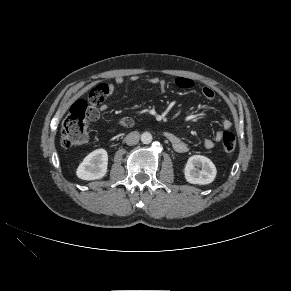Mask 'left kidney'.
Returning a JSON list of instances; mask_svg holds the SVG:
<instances>
[{
  "mask_svg": "<svg viewBox=\"0 0 291 291\" xmlns=\"http://www.w3.org/2000/svg\"><path fill=\"white\" fill-rule=\"evenodd\" d=\"M199 167L202 169L199 170ZM216 173L217 170L214 163L202 155L191 156L184 168L185 179L191 184H210L214 181Z\"/></svg>",
  "mask_w": 291,
  "mask_h": 291,
  "instance_id": "obj_1",
  "label": "left kidney"
}]
</instances>
